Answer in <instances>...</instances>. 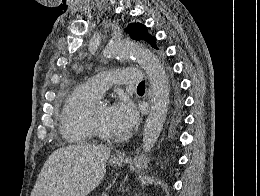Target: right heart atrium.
Wrapping results in <instances>:
<instances>
[{"instance_id":"d8ad5b80","label":"right heart atrium","mask_w":260,"mask_h":196,"mask_svg":"<svg viewBox=\"0 0 260 196\" xmlns=\"http://www.w3.org/2000/svg\"><path fill=\"white\" fill-rule=\"evenodd\" d=\"M78 191L79 190H54V192H78Z\"/></svg>"}]
</instances>
